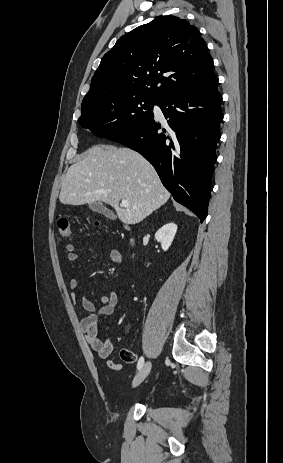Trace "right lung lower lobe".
<instances>
[{"label":"right lung lower lobe","mask_w":283,"mask_h":463,"mask_svg":"<svg viewBox=\"0 0 283 463\" xmlns=\"http://www.w3.org/2000/svg\"><path fill=\"white\" fill-rule=\"evenodd\" d=\"M218 78L173 92L158 101L167 130L148 121L110 140L145 157L178 203L191 209L201 222L207 216L216 144L223 120Z\"/></svg>","instance_id":"obj_1"}]
</instances>
